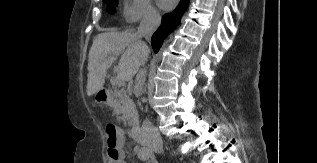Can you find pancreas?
<instances>
[{
  "mask_svg": "<svg viewBox=\"0 0 317 163\" xmlns=\"http://www.w3.org/2000/svg\"><path fill=\"white\" fill-rule=\"evenodd\" d=\"M113 96L115 99L112 101V107L117 119L129 126L135 125L138 122V113L133 101L125 92L116 88L113 91Z\"/></svg>",
  "mask_w": 317,
  "mask_h": 163,
  "instance_id": "1",
  "label": "pancreas"
}]
</instances>
